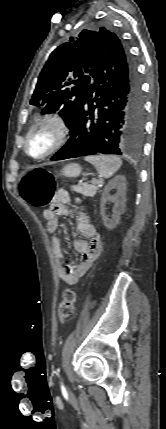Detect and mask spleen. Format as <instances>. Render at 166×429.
I'll list each match as a JSON object with an SVG mask.
<instances>
[{
    "instance_id": "3e777b00",
    "label": "spleen",
    "mask_w": 166,
    "mask_h": 429,
    "mask_svg": "<svg viewBox=\"0 0 166 429\" xmlns=\"http://www.w3.org/2000/svg\"><path fill=\"white\" fill-rule=\"evenodd\" d=\"M85 160L90 162L104 178L111 177L122 165V160L115 155H91L86 156Z\"/></svg>"
}]
</instances>
